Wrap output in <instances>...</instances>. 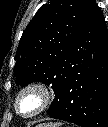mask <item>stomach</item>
<instances>
[{"label":"stomach","mask_w":108,"mask_h":127,"mask_svg":"<svg viewBox=\"0 0 108 127\" xmlns=\"http://www.w3.org/2000/svg\"><path fill=\"white\" fill-rule=\"evenodd\" d=\"M37 127H59V125L58 124H52V125H49V124H47V125L40 124Z\"/></svg>","instance_id":"stomach-1"}]
</instances>
